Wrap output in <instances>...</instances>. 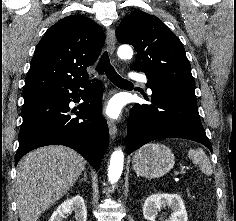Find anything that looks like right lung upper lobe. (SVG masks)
Here are the masks:
<instances>
[{
	"label": "right lung upper lobe",
	"instance_id": "obj_1",
	"mask_svg": "<svg viewBox=\"0 0 236 221\" xmlns=\"http://www.w3.org/2000/svg\"><path fill=\"white\" fill-rule=\"evenodd\" d=\"M104 42L103 30L91 19L80 14L61 19L37 45L23 95L87 81L86 68L97 60Z\"/></svg>",
	"mask_w": 236,
	"mask_h": 221
}]
</instances>
